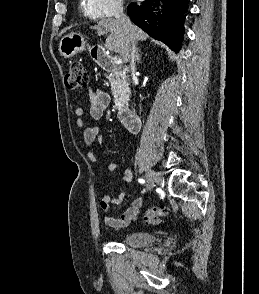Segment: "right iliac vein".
Segmentation results:
<instances>
[{
	"mask_svg": "<svg viewBox=\"0 0 259 294\" xmlns=\"http://www.w3.org/2000/svg\"><path fill=\"white\" fill-rule=\"evenodd\" d=\"M146 174H147V181H148V190L152 191L155 184L159 182V177L157 173L152 169H147Z\"/></svg>",
	"mask_w": 259,
	"mask_h": 294,
	"instance_id": "obj_1",
	"label": "right iliac vein"
}]
</instances>
